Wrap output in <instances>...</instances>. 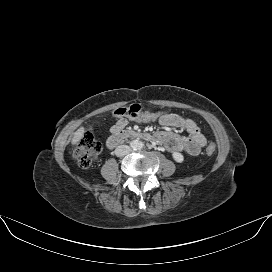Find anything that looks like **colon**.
I'll list each match as a JSON object with an SVG mask.
<instances>
[{
    "label": "colon",
    "mask_w": 272,
    "mask_h": 272,
    "mask_svg": "<svg viewBox=\"0 0 272 272\" xmlns=\"http://www.w3.org/2000/svg\"><path fill=\"white\" fill-rule=\"evenodd\" d=\"M162 114L164 113L159 111L143 110L139 104L119 107L113 112L115 117L139 122H153ZM101 151V143L94 137L91 131H86L76 144L74 157L80 167L87 168L99 156ZM215 151L216 146L213 143H210L206 148L208 155L214 154Z\"/></svg>",
    "instance_id": "1"
}]
</instances>
